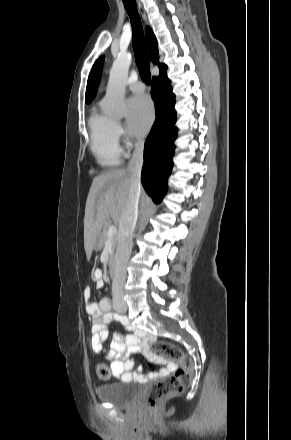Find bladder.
Instances as JSON below:
<instances>
[{
    "label": "bladder",
    "mask_w": 291,
    "mask_h": 440,
    "mask_svg": "<svg viewBox=\"0 0 291 440\" xmlns=\"http://www.w3.org/2000/svg\"><path fill=\"white\" fill-rule=\"evenodd\" d=\"M139 395L140 388L137 386V382L125 379L96 389V396L99 400L115 407H128L135 402Z\"/></svg>",
    "instance_id": "bladder-1"
}]
</instances>
